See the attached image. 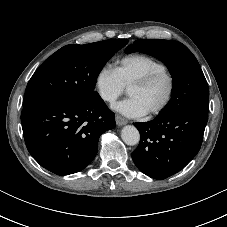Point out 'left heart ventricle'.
<instances>
[{
	"instance_id": "obj_1",
	"label": "left heart ventricle",
	"mask_w": 227,
	"mask_h": 227,
	"mask_svg": "<svg viewBox=\"0 0 227 227\" xmlns=\"http://www.w3.org/2000/svg\"><path fill=\"white\" fill-rule=\"evenodd\" d=\"M169 89L167 77L161 76L146 87H133L128 90V96L135 98L146 111L156 109L166 98Z\"/></svg>"
}]
</instances>
